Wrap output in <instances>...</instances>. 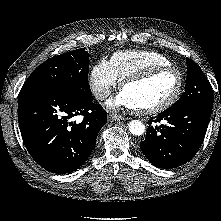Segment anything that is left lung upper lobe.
Wrapping results in <instances>:
<instances>
[{"label":"left lung upper lobe","instance_id":"left-lung-upper-lobe-1","mask_svg":"<svg viewBox=\"0 0 221 221\" xmlns=\"http://www.w3.org/2000/svg\"><path fill=\"white\" fill-rule=\"evenodd\" d=\"M188 73L185 92L169 109L177 110L192 103L213 104V91L210 82L204 76L200 67L191 59L186 58Z\"/></svg>","mask_w":221,"mask_h":221}]
</instances>
